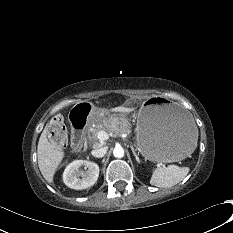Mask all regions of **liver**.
<instances>
[{
  "label": "liver",
  "instance_id": "1",
  "mask_svg": "<svg viewBox=\"0 0 233 233\" xmlns=\"http://www.w3.org/2000/svg\"><path fill=\"white\" fill-rule=\"evenodd\" d=\"M133 108L124 106L115 107L112 112L129 113ZM48 125L43 130L37 148L38 166L41 174L49 183L53 182L54 174L64 158V151L61 144L50 142L47 139Z\"/></svg>",
  "mask_w": 233,
  "mask_h": 233
}]
</instances>
